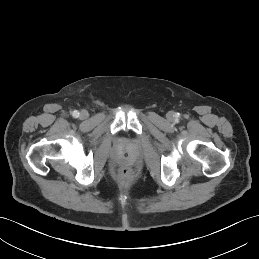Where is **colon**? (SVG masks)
I'll list each match as a JSON object with an SVG mask.
<instances>
[{
    "label": "colon",
    "instance_id": "colon-1",
    "mask_svg": "<svg viewBox=\"0 0 259 259\" xmlns=\"http://www.w3.org/2000/svg\"><path fill=\"white\" fill-rule=\"evenodd\" d=\"M120 175L123 180H129L132 176L131 171L128 169H123Z\"/></svg>",
    "mask_w": 259,
    "mask_h": 259
}]
</instances>
